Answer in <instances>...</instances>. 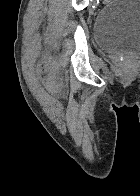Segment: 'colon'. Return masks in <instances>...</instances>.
Instances as JSON below:
<instances>
[{
    "label": "colon",
    "instance_id": "5ec220e1",
    "mask_svg": "<svg viewBox=\"0 0 140 196\" xmlns=\"http://www.w3.org/2000/svg\"><path fill=\"white\" fill-rule=\"evenodd\" d=\"M105 3H110L112 0H104Z\"/></svg>",
    "mask_w": 140,
    "mask_h": 196
}]
</instances>
